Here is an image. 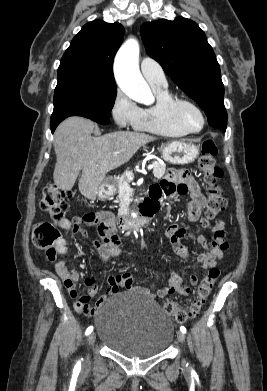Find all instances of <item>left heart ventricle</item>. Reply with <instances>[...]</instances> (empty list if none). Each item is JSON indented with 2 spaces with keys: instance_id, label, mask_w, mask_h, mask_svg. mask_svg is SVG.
<instances>
[{
  "instance_id": "left-heart-ventricle-1",
  "label": "left heart ventricle",
  "mask_w": 267,
  "mask_h": 391,
  "mask_svg": "<svg viewBox=\"0 0 267 391\" xmlns=\"http://www.w3.org/2000/svg\"><path fill=\"white\" fill-rule=\"evenodd\" d=\"M180 115L185 125L191 130H198L202 126V120L196 110L190 106H183Z\"/></svg>"
}]
</instances>
